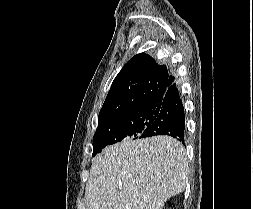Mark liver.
I'll return each mask as SVG.
<instances>
[{
  "label": "liver",
  "instance_id": "6515ba94",
  "mask_svg": "<svg viewBox=\"0 0 253 209\" xmlns=\"http://www.w3.org/2000/svg\"><path fill=\"white\" fill-rule=\"evenodd\" d=\"M188 174L186 152L178 140L126 139L93 159L86 209H161L184 191Z\"/></svg>",
  "mask_w": 253,
  "mask_h": 209
}]
</instances>
